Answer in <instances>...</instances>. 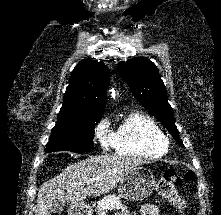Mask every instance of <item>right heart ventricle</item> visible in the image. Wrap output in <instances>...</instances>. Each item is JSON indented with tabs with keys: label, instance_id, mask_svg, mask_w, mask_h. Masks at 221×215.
Listing matches in <instances>:
<instances>
[{
	"label": "right heart ventricle",
	"instance_id": "e07e8e85",
	"mask_svg": "<svg viewBox=\"0 0 221 215\" xmlns=\"http://www.w3.org/2000/svg\"><path fill=\"white\" fill-rule=\"evenodd\" d=\"M160 134L162 130L154 118L135 111L127 115L114 132L113 148L121 155L158 158L166 153L156 141Z\"/></svg>",
	"mask_w": 221,
	"mask_h": 215
}]
</instances>
